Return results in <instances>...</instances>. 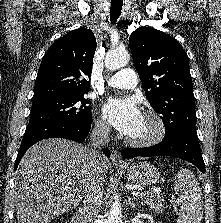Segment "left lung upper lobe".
Listing matches in <instances>:
<instances>
[{"label": "left lung upper lobe", "mask_w": 221, "mask_h": 223, "mask_svg": "<svg viewBox=\"0 0 221 223\" xmlns=\"http://www.w3.org/2000/svg\"><path fill=\"white\" fill-rule=\"evenodd\" d=\"M129 47L145 96L165 126V138L196 130L195 98L189 60L179 42L151 27L131 33Z\"/></svg>", "instance_id": "left-lung-upper-lobe-1"}]
</instances>
